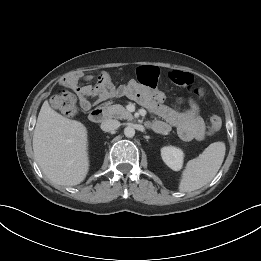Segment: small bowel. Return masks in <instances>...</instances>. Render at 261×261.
<instances>
[{
  "label": "small bowel",
  "instance_id": "1",
  "mask_svg": "<svg viewBox=\"0 0 261 261\" xmlns=\"http://www.w3.org/2000/svg\"><path fill=\"white\" fill-rule=\"evenodd\" d=\"M159 77L158 67L142 66L137 70V79L118 87L112 83L107 73L101 75L96 85L89 83L92 79L91 75L82 73L64 79L62 84L77 94L79 104L85 111L92 107L93 102L128 97L160 118L152 123V128L156 132L163 134L171 127H175L178 136L183 141L203 140L206 137V127L200 116L198 104L192 100L189 108L185 110L164 105L163 93L152 89ZM169 78L177 85L190 87L193 84V76L188 72L171 71ZM81 80H85L86 83L82 84Z\"/></svg>",
  "mask_w": 261,
  "mask_h": 261
}]
</instances>
